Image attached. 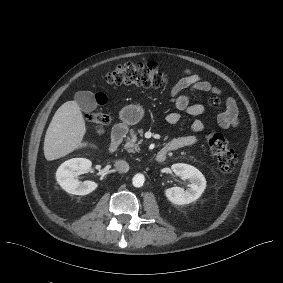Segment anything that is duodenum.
Listing matches in <instances>:
<instances>
[{
	"label": "duodenum",
	"instance_id": "1",
	"mask_svg": "<svg viewBox=\"0 0 283 283\" xmlns=\"http://www.w3.org/2000/svg\"><path fill=\"white\" fill-rule=\"evenodd\" d=\"M127 134V126L123 123H119L114 126L111 134V141H110V147L109 151L110 153H114L120 144L122 143L123 139L125 138ZM169 151L168 147H163L160 149L155 156V159L157 162H163L167 158V153Z\"/></svg>",
	"mask_w": 283,
	"mask_h": 283
}]
</instances>
